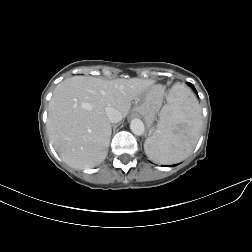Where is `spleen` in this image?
I'll return each instance as SVG.
<instances>
[{
	"label": "spleen",
	"instance_id": "obj_1",
	"mask_svg": "<svg viewBox=\"0 0 252 252\" xmlns=\"http://www.w3.org/2000/svg\"><path fill=\"white\" fill-rule=\"evenodd\" d=\"M201 127L198 100L184 85L175 84L162 108L157 129L145 141V152L160 164L183 161L196 146Z\"/></svg>",
	"mask_w": 252,
	"mask_h": 252
}]
</instances>
